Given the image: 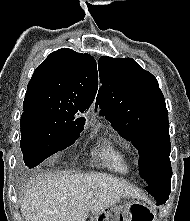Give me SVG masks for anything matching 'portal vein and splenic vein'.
Here are the masks:
<instances>
[{"mask_svg": "<svg viewBox=\"0 0 190 221\" xmlns=\"http://www.w3.org/2000/svg\"><path fill=\"white\" fill-rule=\"evenodd\" d=\"M92 196H93V193L90 192V193L87 194L86 198L90 199V198H92Z\"/></svg>", "mask_w": 190, "mask_h": 221, "instance_id": "obj_1", "label": "portal vein and splenic vein"}]
</instances>
